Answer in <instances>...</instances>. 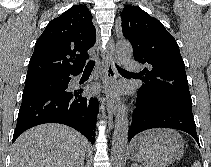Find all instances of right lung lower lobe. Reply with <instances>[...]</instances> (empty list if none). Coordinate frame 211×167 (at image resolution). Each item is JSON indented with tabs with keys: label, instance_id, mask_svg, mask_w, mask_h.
<instances>
[{
	"label": "right lung lower lobe",
	"instance_id": "98d812e1",
	"mask_svg": "<svg viewBox=\"0 0 211 167\" xmlns=\"http://www.w3.org/2000/svg\"><path fill=\"white\" fill-rule=\"evenodd\" d=\"M82 71L65 75L77 76ZM83 89H59L32 93L22 96L13 142L27 129L44 123H61L80 131L93 143L98 114V100L82 96Z\"/></svg>",
	"mask_w": 211,
	"mask_h": 167
}]
</instances>
